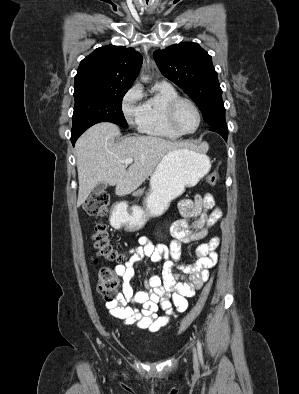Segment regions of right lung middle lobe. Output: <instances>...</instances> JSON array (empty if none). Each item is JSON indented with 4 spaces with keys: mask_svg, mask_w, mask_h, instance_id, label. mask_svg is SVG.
I'll list each match as a JSON object with an SVG mask.
<instances>
[{
    "mask_svg": "<svg viewBox=\"0 0 299 394\" xmlns=\"http://www.w3.org/2000/svg\"><path fill=\"white\" fill-rule=\"evenodd\" d=\"M128 88L108 87L74 88L73 127L112 122L127 127L122 112V99Z\"/></svg>",
    "mask_w": 299,
    "mask_h": 394,
    "instance_id": "dd1d6c3e",
    "label": "right lung middle lobe"
}]
</instances>
